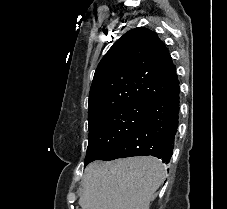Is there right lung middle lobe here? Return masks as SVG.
<instances>
[{
  "label": "right lung middle lobe",
  "instance_id": "dd1d6c3e",
  "mask_svg": "<svg viewBox=\"0 0 227 209\" xmlns=\"http://www.w3.org/2000/svg\"><path fill=\"white\" fill-rule=\"evenodd\" d=\"M102 111L89 118V135L84 166L102 159L142 121L148 104L125 98L106 99Z\"/></svg>",
  "mask_w": 227,
  "mask_h": 209
}]
</instances>
